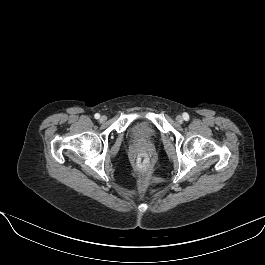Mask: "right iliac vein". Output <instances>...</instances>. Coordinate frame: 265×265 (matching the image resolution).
<instances>
[{"instance_id":"obj_1","label":"right iliac vein","mask_w":265,"mask_h":265,"mask_svg":"<svg viewBox=\"0 0 265 265\" xmlns=\"http://www.w3.org/2000/svg\"><path fill=\"white\" fill-rule=\"evenodd\" d=\"M106 119H107L106 116H102V117L100 118V121H101V122H104V121H106Z\"/></svg>"}]
</instances>
